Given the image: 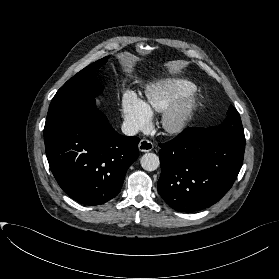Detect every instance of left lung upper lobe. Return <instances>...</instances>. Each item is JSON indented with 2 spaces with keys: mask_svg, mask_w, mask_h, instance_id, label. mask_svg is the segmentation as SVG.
Here are the masks:
<instances>
[{
  "mask_svg": "<svg viewBox=\"0 0 279 279\" xmlns=\"http://www.w3.org/2000/svg\"><path fill=\"white\" fill-rule=\"evenodd\" d=\"M210 128L228 130L237 136L244 137L240 115L232 106L228 109L226 119L220 125Z\"/></svg>",
  "mask_w": 279,
  "mask_h": 279,
  "instance_id": "obj_1",
  "label": "left lung upper lobe"
}]
</instances>
